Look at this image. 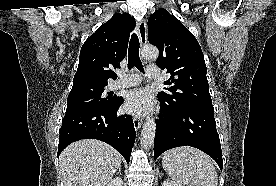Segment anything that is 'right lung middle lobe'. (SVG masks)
I'll list each match as a JSON object with an SVG mask.
<instances>
[{"instance_id":"1","label":"right lung middle lobe","mask_w":276,"mask_h":186,"mask_svg":"<svg viewBox=\"0 0 276 186\" xmlns=\"http://www.w3.org/2000/svg\"><path fill=\"white\" fill-rule=\"evenodd\" d=\"M106 85H83L72 88L68 95L66 112L110 107L118 97L112 96L110 92H105Z\"/></svg>"}]
</instances>
